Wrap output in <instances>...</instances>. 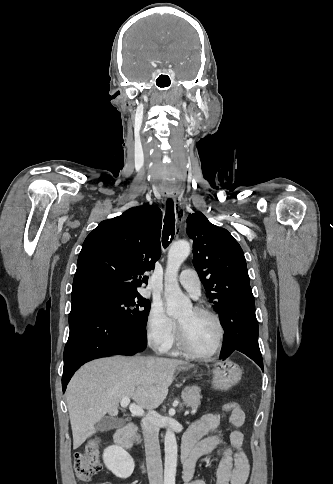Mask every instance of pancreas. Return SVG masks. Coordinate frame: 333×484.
<instances>
[{
    "mask_svg": "<svg viewBox=\"0 0 333 484\" xmlns=\"http://www.w3.org/2000/svg\"><path fill=\"white\" fill-rule=\"evenodd\" d=\"M201 389L197 386L186 387L182 392V399L187 407L197 409L200 405Z\"/></svg>",
    "mask_w": 333,
    "mask_h": 484,
    "instance_id": "cf45deb5",
    "label": "pancreas"
}]
</instances>
